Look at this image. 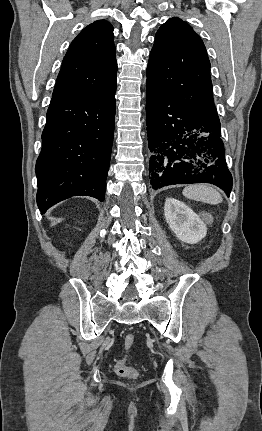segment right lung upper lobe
Masks as SVG:
<instances>
[{
	"label": "right lung upper lobe",
	"instance_id": "right-lung-upper-lobe-1",
	"mask_svg": "<svg viewBox=\"0 0 262 431\" xmlns=\"http://www.w3.org/2000/svg\"><path fill=\"white\" fill-rule=\"evenodd\" d=\"M112 25L98 20L72 41L52 99H100L116 91L117 61Z\"/></svg>",
	"mask_w": 262,
	"mask_h": 431
}]
</instances>
